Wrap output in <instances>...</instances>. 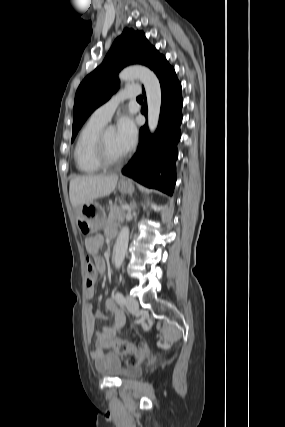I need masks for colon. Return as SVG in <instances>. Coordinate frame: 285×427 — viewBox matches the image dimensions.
<instances>
[{
	"label": "colon",
	"mask_w": 285,
	"mask_h": 427,
	"mask_svg": "<svg viewBox=\"0 0 285 427\" xmlns=\"http://www.w3.org/2000/svg\"><path fill=\"white\" fill-rule=\"evenodd\" d=\"M86 285L91 287L94 284L96 268L92 259H86ZM114 350L122 356L125 363L132 367L138 365L141 360L149 353V347L147 344L142 343L138 346H134L124 340H117L113 343Z\"/></svg>",
	"instance_id": "obj_1"
}]
</instances>
